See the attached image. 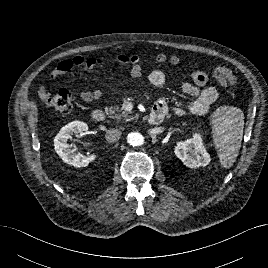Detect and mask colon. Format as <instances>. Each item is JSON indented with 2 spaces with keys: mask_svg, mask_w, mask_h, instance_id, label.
Here are the masks:
<instances>
[{
  "mask_svg": "<svg viewBox=\"0 0 268 268\" xmlns=\"http://www.w3.org/2000/svg\"><path fill=\"white\" fill-rule=\"evenodd\" d=\"M178 61L179 59L177 57H173L171 59L172 63H177ZM213 75L218 83L224 87H231L236 82L235 73L231 69L224 66H216L213 69ZM43 101L46 108L53 111L66 113L70 111L72 107L73 96L69 90L60 89L52 95L47 93L44 96Z\"/></svg>",
  "mask_w": 268,
  "mask_h": 268,
  "instance_id": "colon-1",
  "label": "colon"
}]
</instances>
